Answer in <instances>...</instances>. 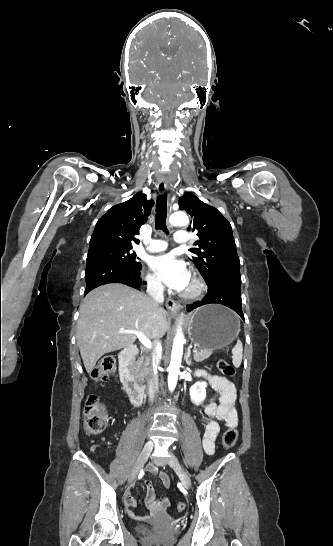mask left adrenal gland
<instances>
[{
	"label": "left adrenal gland",
	"instance_id": "1",
	"mask_svg": "<svg viewBox=\"0 0 333 546\" xmlns=\"http://www.w3.org/2000/svg\"><path fill=\"white\" fill-rule=\"evenodd\" d=\"M190 355H191V349L190 347L188 348V351H187V354L185 356V360H186V363L188 365H192V362H191V359H190Z\"/></svg>",
	"mask_w": 333,
	"mask_h": 546
}]
</instances>
